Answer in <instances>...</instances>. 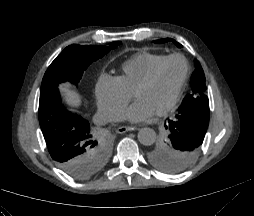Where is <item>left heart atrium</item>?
I'll use <instances>...</instances> for the list:
<instances>
[{
  "mask_svg": "<svg viewBox=\"0 0 254 216\" xmlns=\"http://www.w3.org/2000/svg\"><path fill=\"white\" fill-rule=\"evenodd\" d=\"M156 111L146 102L135 100L125 111L124 118L130 122H144L150 119Z\"/></svg>",
  "mask_w": 254,
  "mask_h": 216,
  "instance_id": "left-heart-atrium-1",
  "label": "left heart atrium"
}]
</instances>
